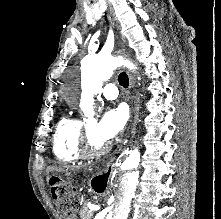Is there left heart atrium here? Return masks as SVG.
Masks as SVG:
<instances>
[{
  "label": "left heart atrium",
  "mask_w": 221,
  "mask_h": 219,
  "mask_svg": "<svg viewBox=\"0 0 221 219\" xmlns=\"http://www.w3.org/2000/svg\"><path fill=\"white\" fill-rule=\"evenodd\" d=\"M128 120V110L125 106L109 108L95 127L96 137L102 141H109L117 136Z\"/></svg>",
  "instance_id": "left-heart-atrium-1"
}]
</instances>
